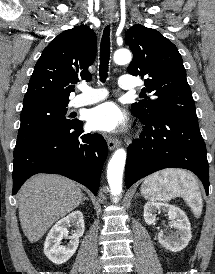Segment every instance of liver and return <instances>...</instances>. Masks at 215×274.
<instances>
[{"label":"liver","mask_w":215,"mask_h":274,"mask_svg":"<svg viewBox=\"0 0 215 274\" xmlns=\"http://www.w3.org/2000/svg\"><path fill=\"white\" fill-rule=\"evenodd\" d=\"M82 199L81 189L70 179L47 174L30 178L18 192L19 219L25 236L31 242L38 241Z\"/></svg>","instance_id":"liver-1"}]
</instances>
